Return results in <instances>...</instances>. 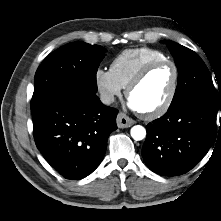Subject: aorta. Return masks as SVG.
Segmentation results:
<instances>
[{
    "mask_svg": "<svg viewBox=\"0 0 221 221\" xmlns=\"http://www.w3.org/2000/svg\"><path fill=\"white\" fill-rule=\"evenodd\" d=\"M146 136V130L141 125H135L131 128V137L136 140L140 141L144 139Z\"/></svg>",
    "mask_w": 221,
    "mask_h": 221,
    "instance_id": "762f6f07",
    "label": "aorta"
}]
</instances>
